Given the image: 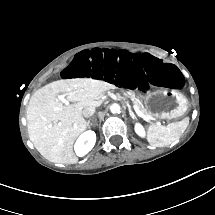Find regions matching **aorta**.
<instances>
[{"label":"aorta","instance_id":"1","mask_svg":"<svg viewBox=\"0 0 215 215\" xmlns=\"http://www.w3.org/2000/svg\"><path fill=\"white\" fill-rule=\"evenodd\" d=\"M110 111H111V113H113V114L120 112V105L117 104V103L112 104V105L110 106Z\"/></svg>","mask_w":215,"mask_h":215}]
</instances>
